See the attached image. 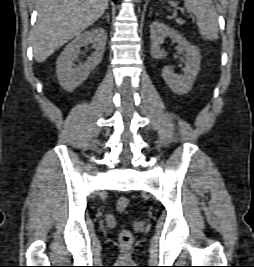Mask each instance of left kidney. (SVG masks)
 Returning <instances> with one entry per match:
<instances>
[{"instance_id":"left-kidney-1","label":"left kidney","mask_w":254,"mask_h":267,"mask_svg":"<svg viewBox=\"0 0 254 267\" xmlns=\"http://www.w3.org/2000/svg\"><path fill=\"white\" fill-rule=\"evenodd\" d=\"M151 34V55L155 59L163 58L161 44L166 37L178 44L179 53H185L186 67L183 69V75H176L169 66L164 67L162 77L170 89L179 95L188 93L194 80L200 70L201 55L198 48L186 40L178 31L169 26L155 21L150 26Z\"/></svg>"}]
</instances>
